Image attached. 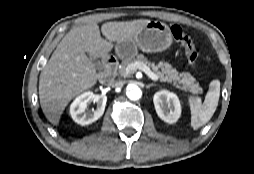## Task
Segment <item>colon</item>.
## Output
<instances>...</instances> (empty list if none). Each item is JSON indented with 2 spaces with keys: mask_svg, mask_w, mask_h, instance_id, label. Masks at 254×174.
<instances>
[{
  "mask_svg": "<svg viewBox=\"0 0 254 174\" xmlns=\"http://www.w3.org/2000/svg\"><path fill=\"white\" fill-rule=\"evenodd\" d=\"M171 34L174 40H176L184 47L189 63L194 66L198 61L199 53L191 37L187 33H185L183 29L178 25H174L171 27Z\"/></svg>",
  "mask_w": 254,
  "mask_h": 174,
  "instance_id": "colon-1",
  "label": "colon"
}]
</instances>
